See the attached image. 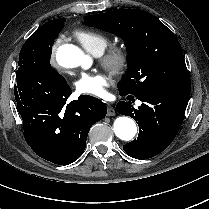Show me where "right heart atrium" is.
Wrapping results in <instances>:
<instances>
[{
    "label": "right heart atrium",
    "mask_w": 209,
    "mask_h": 209,
    "mask_svg": "<svg viewBox=\"0 0 209 209\" xmlns=\"http://www.w3.org/2000/svg\"><path fill=\"white\" fill-rule=\"evenodd\" d=\"M58 46H59V40H55L50 47V61L52 65H54L55 63V54Z\"/></svg>",
    "instance_id": "right-heart-atrium-1"
}]
</instances>
